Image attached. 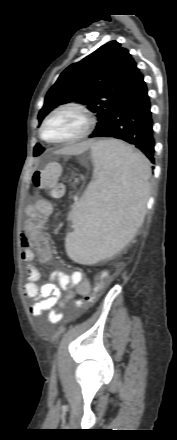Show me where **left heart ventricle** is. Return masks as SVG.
Instances as JSON below:
<instances>
[{"mask_svg": "<svg viewBox=\"0 0 177 440\" xmlns=\"http://www.w3.org/2000/svg\"><path fill=\"white\" fill-rule=\"evenodd\" d=\"M84 127L83 119L73 112H60L54 115L44 129L48 140H60L76 135Z\"/></svg>", "mask_w": 177, "mask_h": 440, "instance_id": "b2bd125f", "label": "left heart ventricle"}]
</instances>
